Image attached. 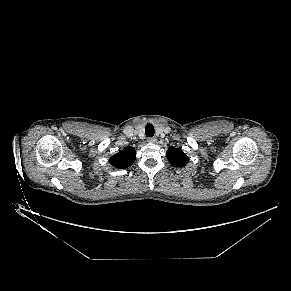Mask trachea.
<instances>
[{
  "label": "trachea",
  "mask_w": 291,
  "mask_h": 291,
  "mask_svg": "<svg viewBox=\"0 0 291 291\" xmlns=\"http://www.w3.org/2000/svg\"><path fill=\"white\" fill-rule=\"evenodd\" d=\"M154 127L152 124H147L145 127V134L147 137H153L154 136Z\"/></svg>",
  "instance_id": "1"
}]
</instances>
